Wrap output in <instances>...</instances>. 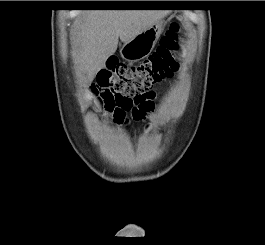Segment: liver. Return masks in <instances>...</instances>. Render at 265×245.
<instances>
[{
  "label": "liver",
  "mask_w": 265,
  "mask_h": 245,
  "mask_svg": "<svg viewBox=\"0 0 265 245\" xmlns=\"http://www.w3.org/2000/svg\"><path fill=\"white\" fill-rule=\"evenodd\" d=\"M166 10H86L77 20V40L80 49L77 63L87 73V82L105 67L107 59L118 46L132 40L162 19Z\"/></svg>",
  "instance_id": "obj_1"
}]
</instances>
